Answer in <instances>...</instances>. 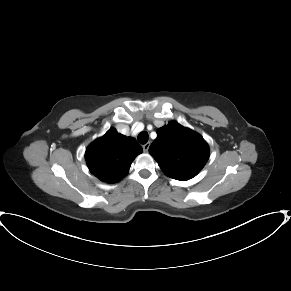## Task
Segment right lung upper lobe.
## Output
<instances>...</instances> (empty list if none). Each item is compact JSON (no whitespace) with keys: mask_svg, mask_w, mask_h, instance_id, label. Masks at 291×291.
<instances>
[{"mask_svg":"<svg viewBox=\"0 0 291 291\" xmlns=\"http://www.w3.org/2000/svg\"><path fill=\"white\" fill-rule=\"evenodd\" d=\"M142 152V147L134 138L111 128L88 146L85 159L89 170L97 178L116 183L127 175L131 163Z\"/></svg>","mask_w":291,"mask_h":291,"instance_id":"obj_1","label":"right lung upper lobe"}]
</instances>
